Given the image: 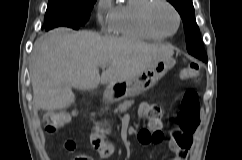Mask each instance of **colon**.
<instances>
[{"label":"colon","mask_w":242,"mask_h":160,"mask_svg":"<svg viewBox=\"0 0 242 160\" xmlns=\"http://www.w3.org/2000/svg\"><path fill=\"white\" fill-rule=\"evenodd\" d=\"M200 75V66L197 63L189 64L182 72L183 79H197ZM200 103L198 94L195 90H187L181 101V108L178 114L179 127L174 131L175 138L182 144L186 145V134H191L195 131L199 124ZM148 115L153 121H158L162 115V111L158 107H150ZM72 117L70 112H52L44 117L45 131L49 134L57 133ZM152 124V129H143L139 137L144 145L157 144L163 140V133ZM96 149V148H95ZM97 153L102 157H107L111 154L106 146V141L98 143ZM74 160H92L86 153H80Z\"/></svg>","instance_id":"colon-1"}]
</instances>
